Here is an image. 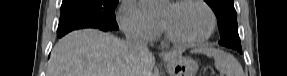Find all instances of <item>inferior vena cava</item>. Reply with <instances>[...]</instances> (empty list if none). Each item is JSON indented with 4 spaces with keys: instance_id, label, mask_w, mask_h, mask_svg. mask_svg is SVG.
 Segmentation results:
<instances>
[{
    "instance_id": "602c4592",
    "label": "inferior vena cava",
    "mask_w": 287,
    "mask_h": 76,
    "mask_svg": "<svg viewBox=\"0 0 287 76\" xmlns=\"http://www.w3.org/2000/svg\"><path fill=\"white\" fill-rule=\"evenodd\" d=\"M125 36L127 50L131 55H143L148 53L147 44L135 30L126 31Z\"/></svg>"
}]
</instances>
